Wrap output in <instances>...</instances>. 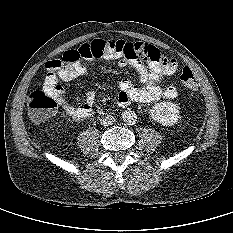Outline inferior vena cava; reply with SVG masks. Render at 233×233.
Here are the masks:
<instances>
[{"mask_svg": "<svg viewBox=\"0 0 233 233\" xmlns=\"http://www.w3.org/2000/svg\"><path fill=\"white\" fill-rule=\"evenodd\" d=\"M100 123L103 126H110L115 123V118L112 115H105L100 119Z\"/></svg>", "mask_w": 233, "mask_h": 233, "instance_id": "602c4592", "label": "inferior vena cava"}]
</instances>
